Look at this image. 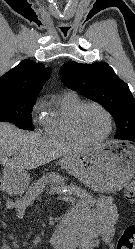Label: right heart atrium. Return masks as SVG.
Returning <instances> with one entry per match:
<instances>
[{"mask_svg":"<svg viewBox=\"0 0 135 249\" xmlns=\"http://www.w3.org/2000/svg\"><path fill=\"white\" fill-rule=\"evenodd\" d=\"M42 103L38 102L36 106L34 107V110H38L41 107Z\"/></svg>","mask_w":135,"mask_h":249,"instance_id":"1","label":"right heart atrium"}]
</instances>
